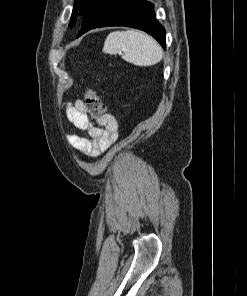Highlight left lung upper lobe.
Listing matches in <instances>:
<instances>
[{"mask_svg":"<svg viewBox=\"0 0 247 296\" xmlns=\"http://www.w3.org/2000/svg\"><path fill=\"white\" fill-rule=\"evenodd\" d=\"M98 1L99 0H75L69 26L74 27L77 16H84Z\"/></svg>","mask_w":247,"mask_h":296,"instance_id":"1","label":"left lung upper lobe"}]
</instances>
